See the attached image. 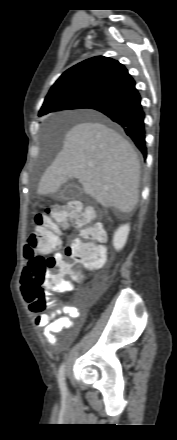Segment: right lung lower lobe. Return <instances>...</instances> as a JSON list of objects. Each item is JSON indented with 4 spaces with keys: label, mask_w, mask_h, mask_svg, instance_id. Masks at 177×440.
<instances>
[{
    "label": "right lung lower lobe",
    "mask_w": 177,
    "mask_h": 440,
    "mask_svg": "<svg viewBox=\"0 0 177 440\" xmlns=\"http://www.w3.org/2000/svg\"><path fill=\"white\" fill-rule=\"evenodd\" d=\"M86 108L101 112L121 125L146 158L145 114L141 105L140 94L135 88V82L96 99Z\"/></svg>",
    "instance_id": "1"
}]
</instances>
